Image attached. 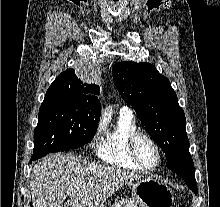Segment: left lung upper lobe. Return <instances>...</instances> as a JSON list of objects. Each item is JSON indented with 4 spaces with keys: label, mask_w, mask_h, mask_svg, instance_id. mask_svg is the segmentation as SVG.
<instances>
[{
    "label": "left lung upper lobe",
    "mask_w": 220,
    "mask_h": 207,
    "mask_svg": "<svg viewBox=\"0 0 220 207\" xmlns=\"http://www.w3.org/2000/svg\"><path fill=\"white\" fill-rule=\"evenodd\" d=\"M121 97L131 105L167 160L189 157L186 119L169 80L149 63L120 62L112 69Z\"/></svg>",
    "instance_id": "5c2ea615"
}]
</instances>
